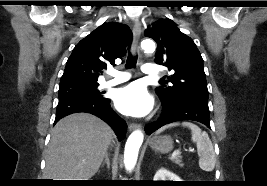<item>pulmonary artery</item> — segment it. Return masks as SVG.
I'll use <instances>...</instances> for the list:
<instances>
[{
	"label": "pulmonary artery",
	"instance_id": "e3ab8cb5",
	"mask_svg": "<svg viewBox=\"0 0 267 186\" xmlns=\"http://www.w3.org/2000/svg\"><path fill=\"white\" fill-rule=\"evenodd\" d=\"M142 72L147 76H157L160 74V68L156 64H146L142 67ZM111 79L104 82V86H114L127 81L130 74L120 71H112L110 73Z\"/></svg>",
	"mask_w": 267,
	"mask_h": 186
}]
</instances>
